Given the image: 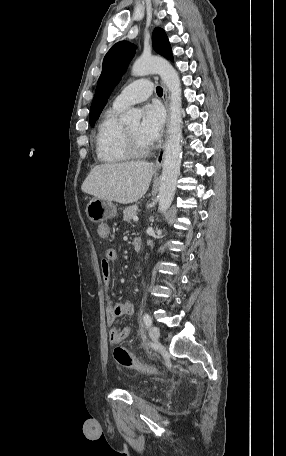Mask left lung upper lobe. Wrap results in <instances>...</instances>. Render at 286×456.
Masks as SVG:
<instances>
[{"mask_svg":"<svg viewBox=\"0 0 286 456\" xmlns=\"http://www.w3.org/2000/svg\"><path fill=\"white\" fill-rule=\"evenodd\" d=\"M152 42L153 48L157 53L167 59L173 60L171 46L163 29L155 28L152 35ZM134 54L135 46L127 41H121L114 44L105 55L102 73L99 77L90 109L89 121L92 127L99 118L112 90L126 71Z\"/></svg>","mask_w":286,"mask_h":456,"instance_id":"1","label":"left lung upper lobe"}]
</instances>
